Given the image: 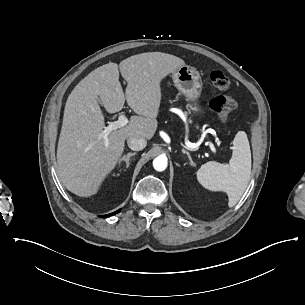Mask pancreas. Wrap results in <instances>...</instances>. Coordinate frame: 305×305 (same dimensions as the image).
<instances>
[{
  "mask_svg": "<svg viewBox=\"0 0 305 305\" xmlns=\"http://www.w3.org/2000/svg\"><path fill=\"white\" fill-rule=\"evenodd\" d=\"M187 114H188L187 112H184V115H185V116H187ZM189 122L191 123V120H189Z\"/></svg>",
  "mask_w": 305,
  "mask_h": 305,
  "instance_id": "pancreas-1",
  "label": "pancreas"
}]
</instances>
